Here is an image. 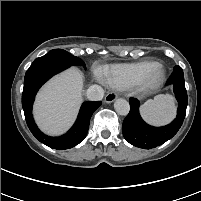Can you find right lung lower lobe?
<instances>
[{
    "mask_svg": "<svg viewBox=\"0 0 201 201\" xmlns=\"http://www.w3.org/2000/svg\"><path fill=\"white\" fill-rule=\"evenodd\" d=\"M72 65V62L60 54L49 52L34 60L24 78L22 107L27 125L37 140L48 147L59 150L72 148L83 141L88 132L90 118L93 112L101 105L100 101L84 102L75 124L63 136L50 137L38 129L32 116V105L37 91L53 75Z\"/></svg>",
    "mask_w": 201,
    "mask_h": 201,
    "instance_id": "right-lung-lower-lobe-1",
    "label": "right lung lower lobe"
}]
</instances>
